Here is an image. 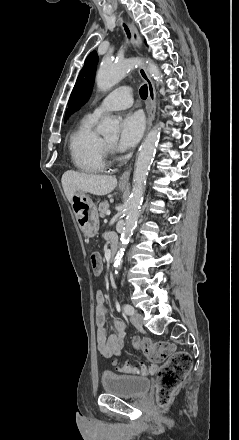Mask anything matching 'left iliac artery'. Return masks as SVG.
Returning <instances> with one entry per match:
<instances>
[{
  "label": "left iliac artery",
  "instance_id": "44dca946",
  "mask_svg": "<svg viewBox=\"0 0 239 440\" xmlns=\"http://www.w3.org/2000/svg\"><path fill=\"white\" fill-rule=\"evenodd\" d=\"M123 309H124V312H125L127 315H132V314H134V308H133L131 305H129V304H125L124 307H123Z\"/></svg>",
  "mask_w": 239,
  "mask_h": 440
}]
</instances>
